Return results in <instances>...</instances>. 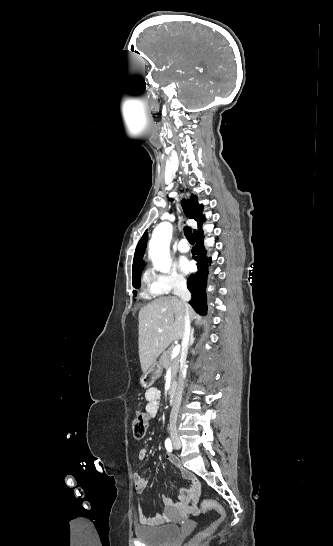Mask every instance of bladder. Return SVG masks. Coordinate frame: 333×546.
I'll list each match as a JSON object with an SVG mask.
<instances>
[{"instance_id": "31cf9c89", "label": "bladder", "mask_w": 333, "mask_h": 546, "mask_svg": "<svg viewBox=\"0 0 333 546\" xmlns=\"http://www.w3.org/2000/svg\"><path fill=\"white\" fill-rule=\"evenodd\" d=\"M135 537L147 546H171L180 535L177 524L159 526H139L135 528Z\"/></svg>"}]
</instances>
